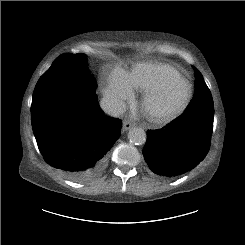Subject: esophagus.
<instances>
[{"label": "esophagus", "instance_id": "34e87169", "mask_svg": "<svg viewBox=\"0 0 245 245\" xmlns=\"http://www.w3.org/2000/svg\"><path fill=\"white\" fill-rule=\"evenodd\" d=\"M134 126V124L128 120H124L123 121V131H127L130 128H132Z\"/></svg>", "mask_w": 245, "mask_h": 245}]
</instances>
